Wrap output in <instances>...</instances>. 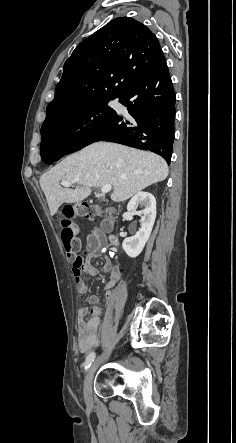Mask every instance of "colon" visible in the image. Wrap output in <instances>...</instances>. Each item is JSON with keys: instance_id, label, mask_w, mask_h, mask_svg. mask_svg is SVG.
I'll use <instances>...</instances> for the list:
<instances>
[{"instance_id": "1", "label": "colon", "mask_w": 236, "mask_h": 443, "mask_svg": "<svg viewBox=\"0 0 236 443\" xmlns=\"http://www.w3.org/2000/svg\"><path fill=\"white\" fill-rule=\"evenodd\" d=\"M98 211L92 208L87 203H81L78 205L66 204L59 213V221L63 227V240L68 259L72 262V268L81 269L83 265V257L86 251L82 250L81 237L79 228L74 223V219L77 216L91 217ZM111 215L105 213L103 225L109 227L111 224Z\"/></svg>"}]
</instances>
